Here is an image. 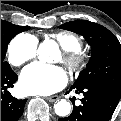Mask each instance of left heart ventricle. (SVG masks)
<instances>
[{
    "label": "left heart ventricle",
    "mask_w": 121,
    "mask_h": 121,
    "mask_svg": "<svg viewBox=\"0 0 121 121\" xmlns=\"http://www.w3.org/2000/svg\"><path fill=\"white\" fill-rule=\"evenodd\" d=\"M61 60V56H59V58H58V61H60Z\"/></svg>",
    "instance_id": "1"
}]
</instances>
